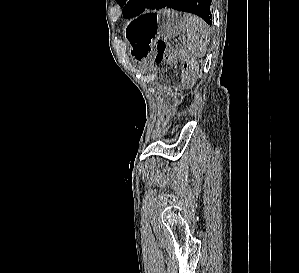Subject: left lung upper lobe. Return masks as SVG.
Returning <instances> with one entry per match:
<instances>
[{
    "instance_id": "left-lung-upper-lobe-1",
    "label": "left lung upper lobe",
    "mask_w": 299,
    "mask_h": 273,
    "mask_svg": "<svg viewBox=\"0 0 299 273\" xmlns=\"http://www.w3.org/2000/svg\"><path fill=\"white\" fill-rule=\"evenodd\" d=\"M123 8V16L126 18L135 17L141 14L146 7L148 0H116Z\"/></svg>"
}]
</instances>
